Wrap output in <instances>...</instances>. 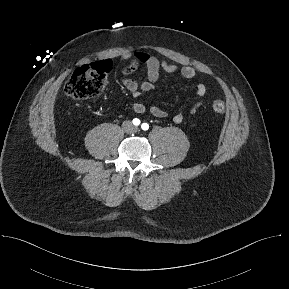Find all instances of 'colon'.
Wrapping results in <instances>:
<instances>
[{
    "instance_id": "5ec220e1",
    "label": "colon",
    "mask_w": 289,
    "mask_h": 289,
    "mask_svg": "<svg viewBox=\"0 0 289 289\" xmlns=\"http://www.w3.org/2000/svg\"><path fill=\"white\" fill-rule=\"evenodd\" d=\"M111 68L112 64L108 61L95 62L78 68L66 81L65 94L75 100L98 97L106 89ZM212 107L217 113H223L226 108L221 99L214 100Z\"/></svg>"
}]
</instances>
